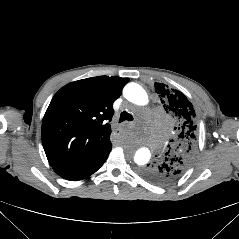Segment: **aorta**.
Here are the masks:
<instances>
[{"mask_svg":"<svg viewBox=\"0 0 239 239\" xmlns=\"http://www.w3.org/2000/svg\"><path fill=\"white\" fill-rule=\"evenodd\" d=\"M123 94L128 101L136 105L142 106L148 103L147 93L139 84L136 83L127 84L123 90ZM153 151L154 146L151 143L149 144L148 147L142 146L138 148V146H134L132 148L133 152L132 158L138 166L142 167L150 161Z\"/></svg>","mask_w":239,"mask_h":239,"instance_id":"762f6f07","label":"aorta"}]
</instances>
